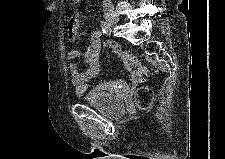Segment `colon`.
Instances as JSON below:
<instances>
[{"label": "colon", "mask_w": 225, "mask_h": 159, "mask_svg": "<svg viewBox=\"0 0 225 159\" xmlns=\"http://www.w3.org/2000/svg\"><path fill=\"white\" fill-rule=\"evenodd\" d=\"M72 1L76 2L77 0ZM117 56L123 61L133 80H141L144 76H146V68L131 52L120 48L117 51ZM152 100L153 94L150 88L141 87L137 90L135 94V101L140 109L145 110L149 108Z\"/></svg>", "instance_id": "5ec220e1"}]
</instances>
